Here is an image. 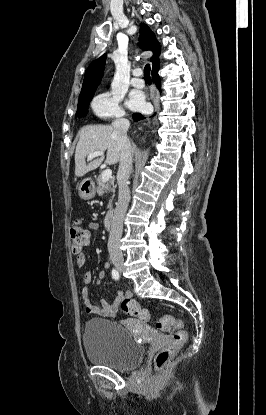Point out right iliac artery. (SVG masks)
I'll return each mask as SVG.
<instances>
[{"label": "right iliac artery", "instance_id": "obj_1", "mask_svg": "<svg viewBox=\"0 0 266 415\" xmlns=\"http://www.w3.org/2000/svg\"><path fill=\"white\" fill-rule=\"evenodd\" d=\"M112 277H113L115 280H119L120 275H119V272H118L116 269H113V270H112Z\"/></svg>", "mask_w": 266, "mask_h": 415}]
</instances>
